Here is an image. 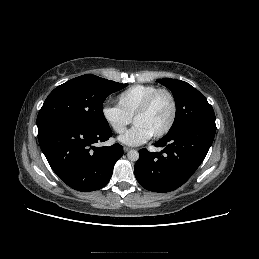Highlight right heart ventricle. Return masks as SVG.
<instances>
[{
	"mask_svg": "<svg viewBox=\"0 0 259 259\" xmlns=\"http://www.w3.org/2000/svg\"><path fill=\"white\" fill-rule=\"evenodd\" d=\"M158 89L160 88L153 84L133 85L118 94L116 98L118 107L127 116L133 118L144 100Z\"/></svg>",
	"mask_w": 259,
	"mask_h": 259,
	"instance_id": "obj_1",
	"label": "right heart ventricle"
}]
</instances>
